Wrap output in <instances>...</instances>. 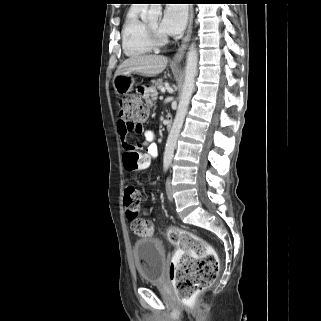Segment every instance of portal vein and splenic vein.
I'll return each mask as SVG.
<instances>
[{"instance_id": "obj_1", "label": "portal vein and splenic vein", "mask_w": 321, "mask_h": 321, "mask_svg": "<svg viewBox=\"0 0 321 321\" xmlns=\"http://www.w3.org/2000/svg\"><path fill=\"white\" fill-rule=\"evenodd\" d=\"M161 92H162V93L165 92V88H164V87L161 88Z\"/></svg>"}]
</instances>
